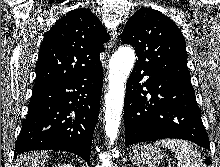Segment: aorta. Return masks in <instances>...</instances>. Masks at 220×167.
Returning a JSON list of instances; mask_svg holds the SVG:
<instances>
[{"mask_svg":"<svg viewBox=\"0 0 220 167\" xmlns=\"http://www.w3.org/2000/svg\"><path fill=\"white\" fill-rule=\"evenodd\" d=\"M135 53L128 47H120L111 57L109 64V90L105 97V132L109 143L117 139L123 110L124 84L134 66Z\"/></svg>","mask_w":220,"mask_h":167,"instance_id":"aorta-1","label":"aorta"}]
</instances>
